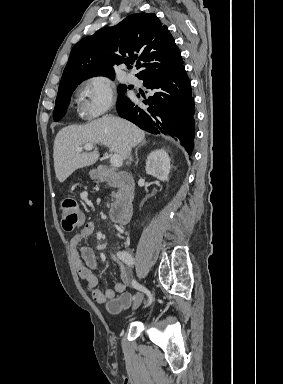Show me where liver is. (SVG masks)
Instances as JSON below:
<instances>
[{
    "mask_svg": "<svg viewBox=\"0 0 283 384\" xmlns=\"http://www.w3.org/2000/svg\"><path fill=\"white\" fill-rule=\"evenodd\" d=\"M145 142V132L121 118H98L85 126H67L58 132L54 142V168L57 180L65 182L78 168L92 166L98 152H76L84 144H102L127 160V146L135 148Z\"/></svg>",
    "mask_w": 283,
    "mask_h": 384,
    "instance_id": "1",
    "label": "liver"
}]
</instances>
